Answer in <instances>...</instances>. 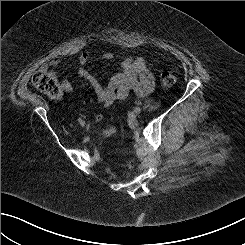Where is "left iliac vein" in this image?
Here are the masks:
<instances>
[{
	"label": "left iliac vein",
	"instance_id": "left-iliac-vein-1",
	"mask_svg": "<svg viewBox=\"0 0 245 245\" xmlns=\"http://www.w3.org/2000/svg\"><path fill=\"white\" fill-rule=\"evenodd\" d=\"M133 112H134L135 114H140V113L142 112V109H141L140 107H135V108L133 109Z\"/></svg>",
	"mask_w": 245,
	"mask_h": 245
}]
</instances>
